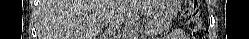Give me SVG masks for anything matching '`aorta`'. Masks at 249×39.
<instances>
[{
  "instance_id": "obj_1",
  "label": "aorta",
  "mask_w": 249,
  "mask_h": 39,
  "mask_svg": "<svg viewBox=\"0 0 249 39\" xmlns=\"http://www.w3.org/2000/svg\"><path fill=\"white\" fill-rule=\"evenodd\" d=\"M135 36V31L134 30H131L129 33H128V38H133Z\"/></svg>"
}]
</instances>
